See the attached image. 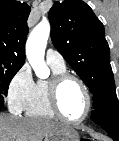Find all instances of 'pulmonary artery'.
I'll return each instance as SVG.
<instances>
[{
    "instance_id": "pulmonary-artery-1",
    "label": "pulmonary artery",
    "mask_w": 119,
    "mask_h": 141,
    "mask_svg": "<svg viewBox=\"0 0 119 141\" xmlns=\"http://www.w3.org/2000/svg\"><path fill=\"white\" fill-rule=\"evenodd\" d=\"M46 61L48 64H53L57 66H64L65 60L63 56L54 49H48L46 52Z\"/></svg>"
}]
</instances>
